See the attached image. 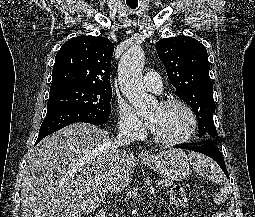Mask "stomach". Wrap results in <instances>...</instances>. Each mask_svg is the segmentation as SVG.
Wrapping results in <instances>:
<instances>
[{
    "label": "stomach",
    "mask_w": 255,
    "mask_h": 217,
    "mask_svg": "<svg viewBox=\"0 0 255 217\" xmlns=\"http://www.w3.org/2000/svg\"><path fill=\"white\" fill-rule=\"evenodd\" d=\"M142 162L166 180L178 181L184 179L190 168L191 160L182 150H165L142 158Z\"/></svg>",
    "instance_id": "stomach-1"
}]
</instances>
